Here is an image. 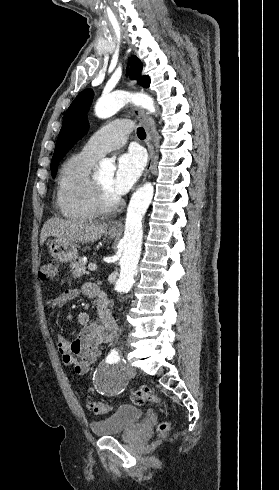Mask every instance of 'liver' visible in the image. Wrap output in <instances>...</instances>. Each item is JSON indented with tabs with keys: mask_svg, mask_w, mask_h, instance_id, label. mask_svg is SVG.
<instances>
[{
	"mask_svg": "<svg viewBox=\"0 0 279 490\" xmlns=\"http://www.w3.org/2000/svg\"><path fill=\"white\" fill-rule=\"evenodd\" d=\"M107 224H85L61 218H50L45 222L40 234V246L49 236L61 242H95L107 232Z\"/></svg>",
	"mask_w": 279,
	"mask_h": 490,
	"instance_id": "obj_1",
	"label": "liver"
}]
</instances>
